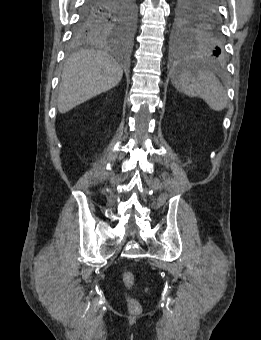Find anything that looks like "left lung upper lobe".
I'll return each mask as SVG.
<instances>
[{"mask_svg":"<svg viewBox=\"0 0 261 340\" xmlns=\"http://www.w3.org/2000/svg\"><path fill=\"white\" fill-rule=\"evenodd\" d=\"M205 0H177L172 42L177 48L194 49L212 58L225 56V39L218 7L207 10Z\"/></svg>","mask_w":261,"mask_h":340,"instance_id":"left-lung-upper-lobe-1","label":"left lung upper lobe"}]
</instances>
